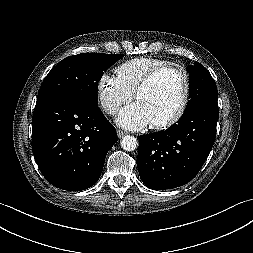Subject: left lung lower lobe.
Wrapping results in <instances>:
<instances>
[{"instance_id":"left-lung-lower-lobe-1","label":"left lung lower lobe","mask_w":253,"mask_h":253,"mask_svg":"<svg viewBox=\"0 0 253 253\" xmlns=\"http://www.w3.org/2000/svg\"><path fill=\"white\" fill-rule=\"evenodd\" d=\"M218 117V106L200 105L170 128L141 135L137 162L143 183L163 190L191 181L212 149Z\"/></svg>"}]
</instances>
